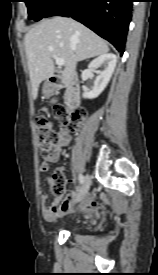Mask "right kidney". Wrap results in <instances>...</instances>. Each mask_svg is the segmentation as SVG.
<instances>
[{"label": "right kidney", "instance_id": "ca27d5eb", "mask_svg": "<svg viewBox=\"0 0 158 275\" xmlns=\"http://www.w3.org/2000/svg\"><path fill=\"white\" fill-rule=\"evenodd\" d=\"M117 57L112 53H106L100 55L88 65V69L84 72V75H89L92 71H95L101 65L104 66V70L99 73V76L95 79L92 90L85 91L83 98L93 99L98 97L109 83L111 76L116 67Z\"/></svg>", "mask_w": 158, "mask_h": 275}]
</instances>
